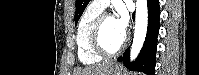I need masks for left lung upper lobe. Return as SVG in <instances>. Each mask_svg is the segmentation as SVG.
I'll use <instances>...</instances> for the list:
<instances>
[{"mask_svg": "<svg viewBox=\"0 0 199 75\" xmlns=\"http://www.w3.org/2000/svg\"><path fill=\"white\" fill-rule=\"evenodd\" d=\"M89 1L90 0H76L75 25L77 24Z\"/></svg>", "mask_w": 199, "mask_h": 75, "instance_id": "left-lung-upper-lobe-1", "label": "left lung upper lobe"}]
</instances>
